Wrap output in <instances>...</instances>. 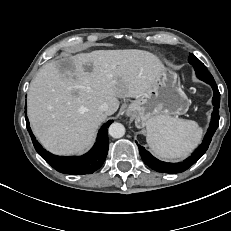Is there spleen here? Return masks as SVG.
I'll list each match as a JSON object with an SVG mask.
<instances>
[{
    "instance_id": "1",
    "label": "spleen",
    "mask_w": 231,
    "mask_h": 231,
    "mask_svg": "<svg viewBox=\"0 0 231 231\" xmlns=\"http://www.w3.org/2000/svg\"><path fill=\"white\" fill-rule=\"evenodd\" d=\"M146 140L152 152L163 159L187 156L200 142L202 129L195 121L166 117L147 125Z\"/></svg>"
}]
</instances>
